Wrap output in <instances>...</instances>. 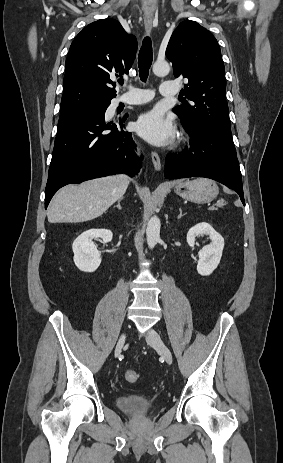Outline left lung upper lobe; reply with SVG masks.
<instances>
[{
    "label": "left lung upper lobe",
    "mask_w": 283,
    "mask_h": 463,
    "mask_svg": "<svg viewBox=\"0 0 283 463\" xmlns=\"http://www.w3.org/2000/svg\"><path fill=\"white\" fill-rule=\"evenodd\" d=\"M176 78L187 79L183 93L193 103L173 109L183 127L209 126L231 134L226 79L215 37L195 21H183L174 30L166 49Z\"/></svg>",
    "instance_id": "left-lung-upper-lobe-1"
}]
</instances>
